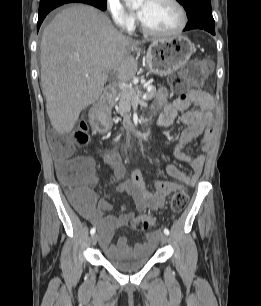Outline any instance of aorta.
I'll use <instances>...</instances> for the list:
<instances>
[{"instance_id":"762f6f07","label":"aorta","mask_w":261,"mask_h":306,"mask_svg":"<svg viewBox=\"0 0 261 306\" xmlns=\"http://www.w3.org/2000/svg\"><path fill=\"white\" fill-rule=\"evenodd\" d=\"M126 1H130L132 3V5H134V6H137L142 2V0H126Z\"/></svg>"}]
</instances>
